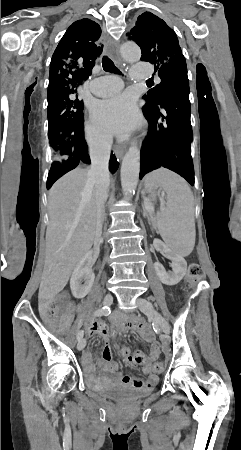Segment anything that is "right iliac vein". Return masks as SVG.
<instances>
[{
    "mask_svg": "<svg viewBox=\"0 0 241 450\" xmlns=\"http://www.w3.org/2000/svg\"><path fill=\"white\" fill-rule=\"evenodd\" d=\"M112 302H113V298H112L111 294H107L104 297L103 305L109 306L112 304ZM85 344H86V340L82 338L81 340H79V342L77 344V349L79 351L82 350L85 347Z\"/></svg>",
    "mask_w": 241,
    "mask_h": 450,
    "instance_id": "1",
    "label": "right iliac vein"
}]
</instances>
